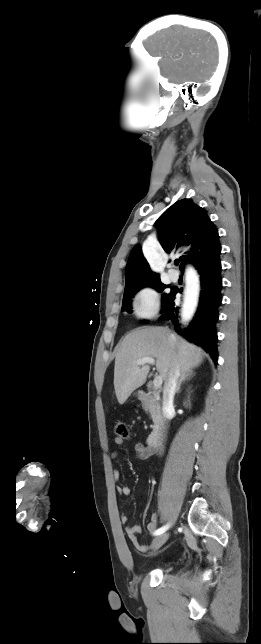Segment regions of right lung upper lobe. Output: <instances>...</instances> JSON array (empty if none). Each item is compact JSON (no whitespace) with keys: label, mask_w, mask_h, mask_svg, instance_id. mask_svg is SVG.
Here are the masks:
<instances>
[{"label":"right lung upper lobe","mask_w":261,"mask_h":644,"mask_svg":"<svg viewBox=\"0 0 261 644\" xmlns=\"http://www.w3.org/2000/svg\"><path fill=\"white\" fill-rule=\"evenodd\" d=\"M157 228L162 231L161 245L167 253L184 246H191L186 255L180 256L183 269L186 261L199 265L216 260L221 252L219 235L204 208L191 199H182L169 207L157 220ZM160 280L159 274L151 271L143 256L142 249L136 245L128 258L126 266L125 289L137 283Z\"/></svg>","instance_id":"right-lung-upper-lobe-1"}]
</instances>
